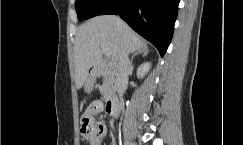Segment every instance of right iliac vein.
I'll use <instances>...</instances> for the list:
<instances>
[{
	"instance_id": "1",
	"label": "right iliac vein",
	"mask_w": 243,
	"mask_h": 145,
	"mask_svg": "<svg viewBox=\"0 0 243 145\" xmlns=\"http://www.w3.org/2000/svg\"><path fill=\"white\" fill-rule=\"evenodd\" d=\"M125 145H135V144H133V143H131L129 141H125Z\"/></svg>"
}]
</instances>
